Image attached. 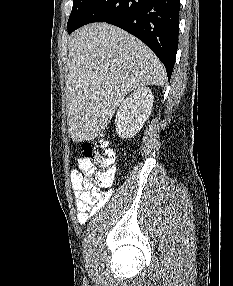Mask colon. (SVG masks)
I'll return each instance as SVG.
<instances>
[{"instance_id":"5ec220e1","label":"colon","mask_w":233,"mask_h":286,"mask_svg":"<svg viewBox=\"0 0 233 286\" xmlns=\"http://www.w3.org/2000/svg\"><path fill=\"white\" fill-rule=\"evenodd\" d=\"M84 157L92 164L88 175L92 183L97 184V188L103 189L112 185L115 171V154L108 143L100 138L85 142L82 145Z\"/></svg>"}]
</instances>
